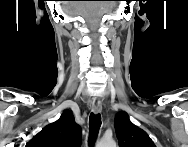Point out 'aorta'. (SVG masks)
<instances>
[{
    "instance_id": "aorta-1",
    "label": "aorta",
    "mask_w": 188,
    "mask_h": 147,
    "mask_svg": "<svg viewBox=\"0 0 188 147\" xmlns=\"http://www.w3.org/2000/svg\"><path fill=\"white\" fill-rule=\"evenodd\" d=\"M99 147H116V143L111 138H103L98 143Z\"/></svg>"
}]
</instances>
